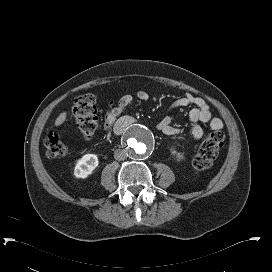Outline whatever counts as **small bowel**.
I'll return each instance as SVG.
<instances>
[{
    "label": "small bowel",
    "mask_w": 272,
    "mask_h": 272,
    "mask_svg": "<svg viewBox=\"0 0 272 272\" xmlns=\"http://www.w3.org/2000/svg\"><path fill=\"white\" fill-rule=\"evenodd\" d=\"M134 98L146 101L149 99V94L145 91H138L135 97L127 94L112 104L106 115V126L109 129L116 123L123 110L132 104ZM185 106H192L189 112V120L191 123V135L194 140H200L203 137L204 131L200 125L201 123H208L213 130H219L223 127L221 119L212 117L209 105L203 98L187 93L184 97L171 104L168 114L159 122L158 129L166 135L179 134L180 129L172 126L173 113L175 110Z\"/></svg>",
    "instance_id": "obj_1"
}]
</instances>
